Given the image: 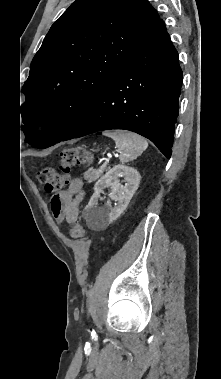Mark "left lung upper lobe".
<instances>
[{"instance_id": "1", "label": "left lung upper lobe", "mask_w": 221, "mask_h": 379, "mask_svg": "<svg viewBox=\"0 0 221 379\" xmlns=\"http://www.w3.org/2000/svg\"><path fill=\"white\" fill-rule=\"evenodd\" d=\"M159 21L147 0L72 3L50 28L23 86L26 140L36 148L60 142Z\"/></svg>"}]
</instances>
